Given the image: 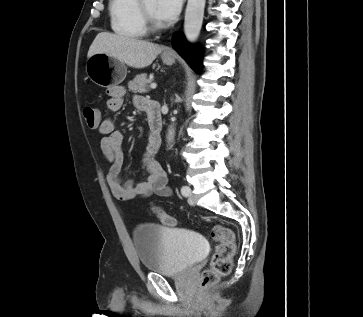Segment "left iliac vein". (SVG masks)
Instances as JSON below:
<instances>
[{
    "label": "left iliac vein",
    "instance_id": "obj_1",
    "mask_svg": "<svg viewBox=\"0 0 363 317\" xmlns=\"http://www.w3.org/2000/svg\"><path fill=\"white\" fill-rule=\"evenodd\" d=\"M188 196H189L188 203L190 205H195V199L192 196V192H191V189L190 188H189V195Z\"/></svg>",
    "mask_w": 363,
    "mask_h": 317
}]
</instances>
